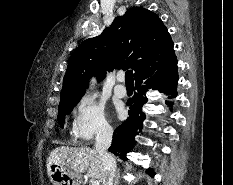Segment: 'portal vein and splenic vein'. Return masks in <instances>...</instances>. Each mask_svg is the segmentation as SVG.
I'll list each match as a JSON object with an SVG mask.
<instances>
[{
	"mask_svg": "<svg viewBox=\"0 0 233 185\" xmlns=\"http://www.w3.org/2000/svg\"><path fill=\"white\" fill-rule=\"evenodd\" d=\"M91 185H99V181L95 180L91 182Z\"/></svg>",
	"mask_w": 233,
	"mask_h": 185,
	"instance_id": "obj_1",
	"label": "portal vein and splenic vein"
}]
</instances>
